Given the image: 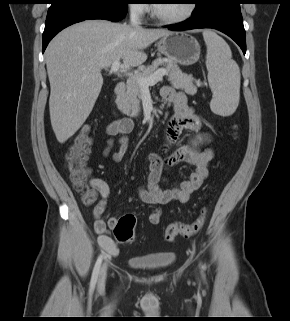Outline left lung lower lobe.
<instances>
[{
  "label": "left lung lower lobe",
  "instance_id": "1",
  "mask_svg": "<svg viewBox=\"0 0 290 321\" xmlns=\"http://www.w3.org/2000/svg\"><path fill=\"white\" fill-rule=\"evenodd\" d=\"M241 3V0H212L203 8L193 11L192 17L188 20L166 27L173 31L217 29L231 37L245 54V29L239 5Z\"/></svg>",
  "mask_w": 290,
  "mask_h": 321
}]
</instances>
